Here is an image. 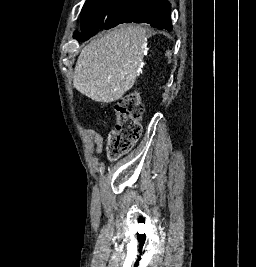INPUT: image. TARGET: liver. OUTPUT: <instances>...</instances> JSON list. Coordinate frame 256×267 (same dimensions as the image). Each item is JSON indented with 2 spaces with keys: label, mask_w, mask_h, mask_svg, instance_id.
Returning a JSON list of instances; mask_svg holds the SVG:
<instances>
[{
  "label": "liver",
  "mask_w": 256,
  "mask_h": 267,
  "mask_svg": "<svg viewBox=\"0 0 256 267\" xmlns=\"http://www.w3.org/2000/svg\"><path fill=\"white\" fill-rule=\"evenodd\" d=\"M145 30L123 24L83 48L75 66L73 86L95 102H115L135 84L143 62Z\"/></svg>",
  "instance_id": "1"
}]
</instances>
